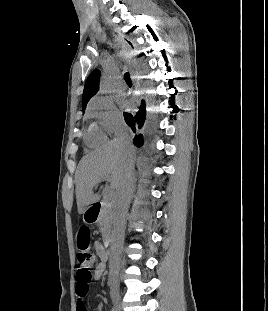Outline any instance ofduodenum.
I'll use <instances>...</instances> for the list:
<instances>
[{"mask_svg": "<svg viewBox=\"0 0 268 311\" xmlns=\"http://www.w3.org/2000/svg\"><path fill=\"white\" fill-rule=\"evenodd\" d=\"M101 209V203H95L93 204L89 210H88V215L91 219H96L99 211ZM114 249V240L112 238H108L105 242V250L107 253H111Z\"/></svg>", "mask_w": 268, "mask_h": 311, "instance_id": "obj_1", "label": "duodenum"}]
</instances>
